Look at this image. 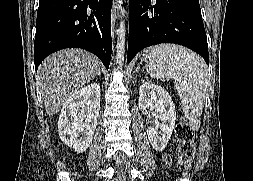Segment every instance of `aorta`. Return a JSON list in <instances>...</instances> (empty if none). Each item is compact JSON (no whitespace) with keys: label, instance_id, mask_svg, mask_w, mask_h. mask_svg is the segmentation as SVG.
Masks as SVG:
<instances>
[{"label":"aorta","instance_id":"762f6f07","mask_svg":"<svg viewBox=\"0 0 253 181\" xmlns=\"http://www.w3.org/2000/svg\"><path fill=\"white\" fill-rule=\"evenodd\" d=\"M123 15V12H122ZM125 34H126V28H125V22L124 20L120 21L119 28L117 31V50H116V63L118 66H122L124 62V56H125Z\"/></svg>","mask_w":253,"mask_h":181}]
</instances>
